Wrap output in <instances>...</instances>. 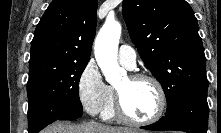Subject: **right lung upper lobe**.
<instances>
[{"label":"right lung upper lobe","mask_w":221,"mask_h":133,"mask_svg":"<svg viewBox=\"0 0 221 133\" xmlns=\"http://www.w3.org/2000/svg\"><path fill=\"white\" fill-rule=\"evenodd\" d=\"M97 0H53L31 43L29 75L70 63H87L96 33Z\"/></svg>","instance_id":"right-lung-upper-lobe-1"}]
</instances>
